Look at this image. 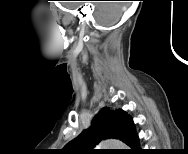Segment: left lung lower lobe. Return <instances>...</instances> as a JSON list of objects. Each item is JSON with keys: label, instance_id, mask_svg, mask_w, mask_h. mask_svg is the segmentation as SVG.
I'll return each mask as SVG.
<instances>
[{"label": "left lung lower lobe", "instance_id": "obj_1", "mask_svg": "<svg viewBox=\"0 0 188 154\" xmlns=\"http://www.w3.org/2000/svg\"><path fill=\"white\" fill-rule=\"evenodd\" d=\"M123 142L131 148L130 151L140 150L138 135L136 134L132 119L130 120L128 124L127 133Z\"/></svg>", "mask_w": 188, "mask_h": 154}]
</instances>
